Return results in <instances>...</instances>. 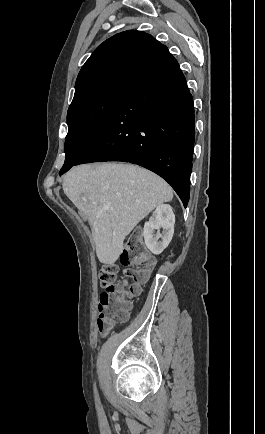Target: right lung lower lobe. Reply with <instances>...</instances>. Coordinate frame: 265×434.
I'll return each instance as SVG.
<instances>
[{"label": "right lung lower lobe", "instance_id": "1", "mask_svg": "<svg viewBox=\"0 0 265 434\" xmlns=\"http://www.w3.org/2000/svg\"><path fill=\"white\" fill-rule=\"evenodd\" d=\"M194 139L193 98L167 50L133 77L105 128L74 165L138 164L164 178L186 207Z\"/></svg>", "mask_w": 265, "mask_h": 434}]
</instances>
